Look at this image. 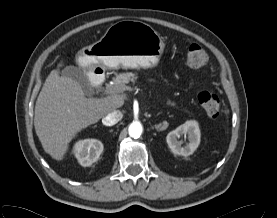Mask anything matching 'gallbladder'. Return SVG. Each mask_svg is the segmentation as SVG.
Segmentation results:
<instances>
[{
    "mask_svg": "<svg viewBox=\"0 0 277 218\" xmlns=\"http://www.w3.org/2000/svg\"><path fill=\"white\" fill-rule=\"evenodd\" d=\"M62 75L78 82L82 86L85 94L90 95L92 93L93 89L89 78L80 68L75 66H66L62 70Z\"/></svg>",
    "mask_w": 277,
    "mask_h": 218,
    "instance_id": "bac80fb5",
    "label": "gallbladder"
}]
</instances>
